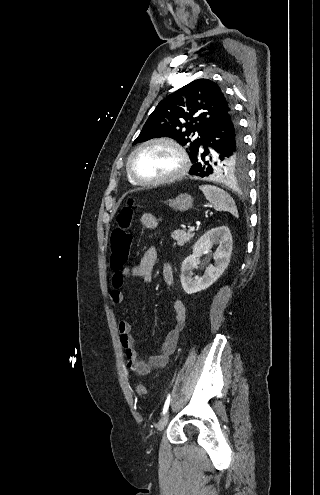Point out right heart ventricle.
Segmentation results:
<instances>
[{
  "label": "right heart ventricle",
  "mask_w": 320,
  "mask_h": 495,
  "mask_svg": "<svg viewBox=\"0 0 320 495\" xmlns=\"http://www.w3.org/2000/svg\"><path fill=\"white\" fill-rule=\"evenodd\" d=\"M128 178H129V176H128ZM129 180H130L131 183H134L130 178H129Z\"/></svg>",
  "instance_id": "1"
}]
</instances>
